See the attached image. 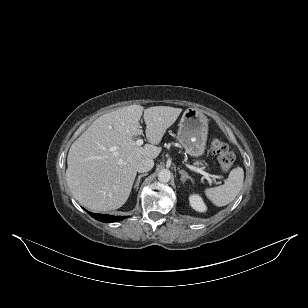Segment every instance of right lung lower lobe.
<instances>
[{"label": "right lung lower lobe", "instance_id": "98d812e1", "mask_svg": "<svg viewBox=\"0 0 308 308\" xmlns=\"http://www.w3.org/2000/svg\"><path fill=\"white\" fill-rule=\"evenodd\" d=\"M85 210V209H84ZM88 212V211H87ZM89 214L96 220L101 221V222H116V221H120L122 219H125L126 217H121V216H111V215H103V214H93L90 213Z\"/></svg>", "mask_w": 308, "mask_h": 308}]
</instances>
